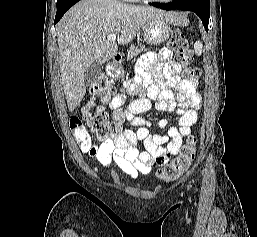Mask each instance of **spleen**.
<instances>
[{
    "mask_svg": "<svg viewBox=\"0 0 257 237\" xmlns=\"http://www.w3.org/2000/svg\"><path fill=\"white\" fill-rule=\"evenodd\" d=\"M202 48H203V45H202V42L201 41H197L195 44H194V50H195V53L199 56L201 55L202 53Z\"/></svg>",
    "mask_w": 257,
    "mask_h": 237,
    "instance_id": "3e777b00",
    "label": "spleen"
}]
</instances>
